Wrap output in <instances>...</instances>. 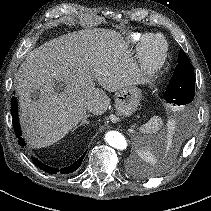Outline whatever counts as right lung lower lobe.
I'll return each instance as SVG.
<instances>
[{
	"mask_svg": "<svg viewBox=\"0 0 211 211\" xmlns=\"http://www.w3.org/2000/svg\"><path fill=\"white\" fill-rule=\"evenodd\" d=\"M11 113H12V117H13V126H14V131L15 134L17 136V138H19L18 143L20 146H25V142L23 140V138H21V129H20V125H19V119H18V111H17V101L15 97H12V101H11ZM86 152L72 165L62 168V169H57V168H52L49 167L43 163H41L39 160L37 159H33V162L36 166H38L40 169L44 170L45 172L51 173V174H55L57 172H61V174H69L74 172L75 170H77L80 165L82 164V161L85 157Z\"/></svg>",
	"mask_w": 211,
	"mask_h": 211,
	"instance_id": "right-lung-lower-lobe-1",
	"label": "right lung lower lobe"
}]
</instances>
